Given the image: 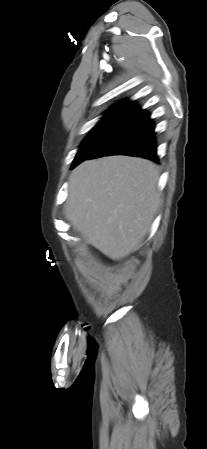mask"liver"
<instances>
[{"mask_svg": "<svg viewBox=\"0 0 207 449\" xmlns=\"http://www.w3.org/2000/svg\"><path fill=\"white\" fill-rule=\"evenodd\" d=\"M159 171L149 160L111 156L88 160L69 177L64 212L88 244L112 260L128 256L159 208Z\"/></svg>", "mask_w": 207, "mask_h": 449, "instance_id": "obj_1", "label": "liver"}]
</instances>
